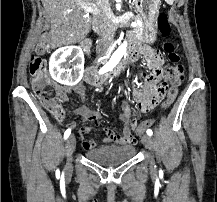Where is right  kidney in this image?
Segmentation results:
<instances>
[{
  "label": "right kidney",
  "instance_id": "right-kidney-1",
  "mask_svg": "<svg viewBox=\"0 0 217 202\" xmlns=\"http://www.w3.org/2000/svg\"><path fill=\"white\" fill-rule=\"evenodd\" d=\"M84 54L79 46H65L52 54L49 70L53 80L64 86H76L84 74Z\"/></svg>",
  "mask_w": 217,
  "mask_h": 202
}]
</instances>
